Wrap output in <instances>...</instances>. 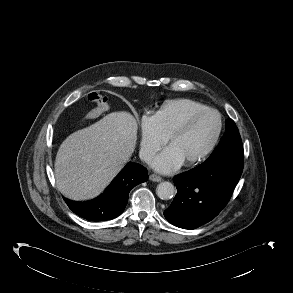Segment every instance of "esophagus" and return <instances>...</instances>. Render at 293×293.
I'll return each mask as SVG.
<instances>
[{
  "label": "esophagus",
  "instance_id": "esophagus-1",
  "mask_svg": "<svg viewBox=\"0 0 293 293\" xmlns=\"http://www.w3.org/2000/svg\"><path fill=\"white\" fill-rule=\"evenodd\" d=\"M149 179L153 182H161L162 181V178L156 174H151L149 176Z\"/></svg>",
  "mask_w": 293,
  "mask_h": 293
}]
</instances>
